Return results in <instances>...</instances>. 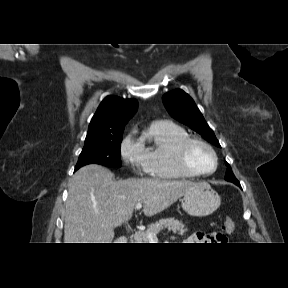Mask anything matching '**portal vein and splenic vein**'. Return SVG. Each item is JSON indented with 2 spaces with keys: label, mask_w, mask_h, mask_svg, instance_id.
Returning a JSON list of instances; mask_svg holds the SVG:
<instances>
[{
  "label": "portal vein and splenic vein",
  "mask_w": 288,
  "mask_h": 288,
  "mask_svg": "<svg viewBox=\"0 0 288 288\" xmlns=\"http://www.w3.org/2000/svg\"><path fill=\"white\" fill-rule=\"evenodd\" d=\"M142 208V203H138L136 206H135V209L136 210H140ZM157 233H149L148 234V239L149 241H154L157 239Z\"/></svg>",
  "instance_id": "1"
}]
</instances>
